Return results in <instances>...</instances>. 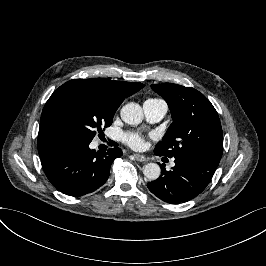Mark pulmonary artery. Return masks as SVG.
Wrapping results in <instances>:
<instances>
[{"mask_svg": "<svg viewBox=\"0 0 266 266\" xmlns=\"http://www.w3.org/2000/svg\"><path fill=\"white\" fill-rule=\"evenodd\" d=\"M143 109L147 120L154 123L160 121L165 116L168 106L163 99L149 98L144 101Z\"/></svg>", "mask_w": 266, "mask_h": 266, "instance_id": "e3ab8cb5", "label": "pulmonary artery"}]
</instances>
